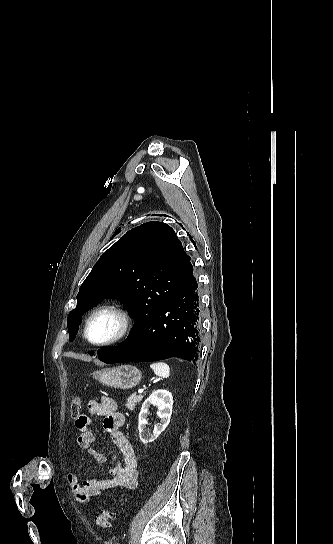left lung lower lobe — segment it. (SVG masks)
Segmentation results:
<instances>
[{"mask_svg":"<svg viewBox=\"0 0 333 544\" xmlns=\"http://www.w3.org/2000/svg\"><path fill=\"white\" fill-rule=\"evenodd\" d=\"M199 286L192 274L154 317L133 327L120 345L98 351L105 363L146 362L179 357L195 361L201 342Z\"/></svg>","mask_w":333,"mask_h":544,"instance_id":"obj_1","label":"left lung lower lobe"}]
</instances>
